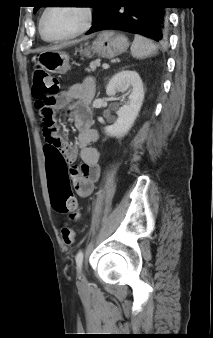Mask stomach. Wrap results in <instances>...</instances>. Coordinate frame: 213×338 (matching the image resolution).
<instances>
[{"instance_id": "stomach-1", "label": "stomach", "mask_w": 213, "mask_h": 338, "mask_svg": "<svg viewBox=\"0 0 213 338\" xmlns=\"http://www.w3.org/2000/svg\"><path fill=\"white\" fill-rule=\"evenodd\" d=\"M129 47V41L125 35L115 31H102L97 34L91 46L85 50V54L91 52L98 56L112 59L124 53ZM37 63L50 73L65 74L69 69V56L60 50L44 51L37 59Z\"/></svg>"}]
</instances>
